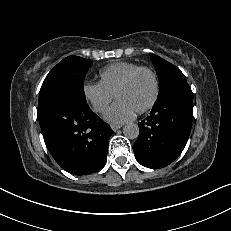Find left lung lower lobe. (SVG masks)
<instances>
[{
	"label": "left lung lower lobe",
	"instance_id": "0a47b994",
	"mask_svg": "<svg viewBox=\"0 0 231 231\" xmlns=\"http://www.w3.org/2000/svg\"><path fill=\"white\" fill-rule=\"evenodd\" d=\"M192 116V91L187 82L158 95L150 116L138 123L140 133L133 145L137 161L153 169L172 163L187 143Z\"/></svg>",
	"mask_w": 231,
	"mask_h": 231
}]
</instances>
